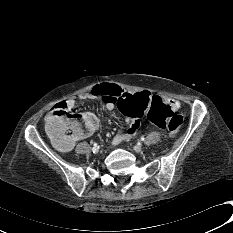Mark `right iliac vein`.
<instances>
[{
    "label": "right iliac vein",
    "instance_id": "63e3f726",
    "mask_svg": "<svg viewBox=\"0 0 233 233\" xmlns=\"http://www.w3.org/2000/svg\"><path fill=\"white\" fill-rule=\"evenodd\" d=\"M92 151H95V153H97L98 152V148H95V149L93 148Z\"/></svg>",
    "mask_w": 233,
    "mask_h": 233
}]
</instances>
